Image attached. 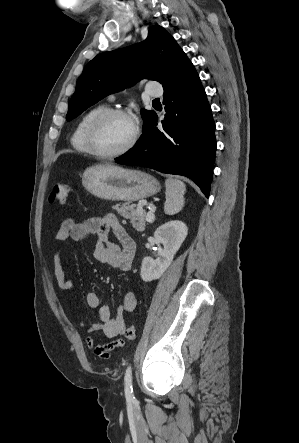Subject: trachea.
Instances as JSON below:
<instances>
[{
	"instance_id": "trachea-1",
	"label": "trachea",
	"mask_w": 299,
	"mask_h": 443,
	"mask_svg": "<svg viewBox=\"0 0 299 443\" xmlns=\"http://www.w3.org/2000/svg\"><path fill=\"white\" fill-rule=\"evenodd\" d=\"M159 101H160L159 98L153 100V102H159Z\"/></svg>"
}]
</instances>
